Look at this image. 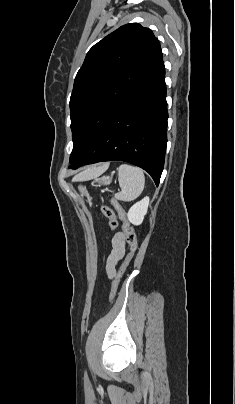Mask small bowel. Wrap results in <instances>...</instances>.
Here are the masks:
<instances>
[{
	"mask_svg": "<svg viewBox=\"0 0 235 404\" xmlns=\"http://www.w3.org/2000/svg\"><path fill=\"white\" fill-rule=\"evenodd\" d=\"M112 249L105 262V271L109 278L114 277L117 267L125 258V238L121 232L116 233L111 241Z\"/></svg>",
	"mask_w": 235,
	"mask_h": 404,
	"instance_id": "obj_1",
	"label": "small bowel"
}]
</instances>
